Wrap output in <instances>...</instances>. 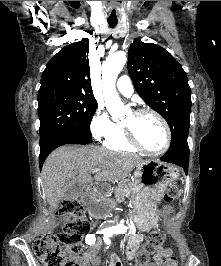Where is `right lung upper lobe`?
Segmentation results:
<instances>
[{
	"mask_svg": "<svg viewBox=\"0 0 221 266\" xmlns=\"http://www.w3.org/2000/svg\"><path fill=\"white\" fill-rule=\"evenodd\" d=\"M88 53L89 40L87 38L65 46L47 63L41 77L39 91L62 89L94 98Z\"/></svg>",
	"mask_w": 221,
	"mask_h": 266,
	"instance_id": "right-lung-upper-lobe-1",
	"label": "right lung upper lobe"
}]
</instances>
